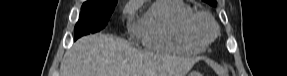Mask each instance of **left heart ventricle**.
Here are the masks:
<instances>
[{"mask_svg":"<svg viewBox=\"0 0 287 76\" xmlns=\"http://www.w3.org/2000/svg\"><path fill=\"white\" fill-rule=\"evenodd\" d=\"M203 30H204V32H206V33L209 32V29H208L206 26L203 27Z\"/></svg>","mask_w":287,"mask_h":76,"instance_id":"b2bd125f","label":"left heart ventricle"}]
</instances>
